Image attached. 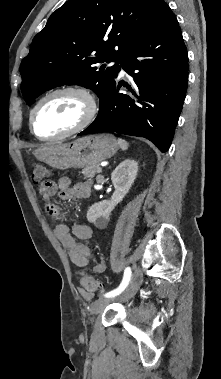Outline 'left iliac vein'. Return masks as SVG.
<instances>
[{
  "mask_svg": "<svg viewBox=\"0 0 221 379\" xmlns=\"http://www.w3.org/2000/svg\"><path fill=\"white\" fill-rule=\"evenodd\" d=\"M142 278H143V275H142L141 269L136 268L129 284L124 289V291H122L118 296L110 297V298L104 297V298H99L98 300H96L91 308V315H92L91 321H93L94 316L101 313L109 303L113 301L126 302L130 298H132L137 292V290L139 289L142 282Z\"/></svg>",
  "mask_w": 221,
  "mask_h": 379,
  "instance_id": "left-iliac-vein-1",
  "label": "left iliac vein"
}]
</instances>
